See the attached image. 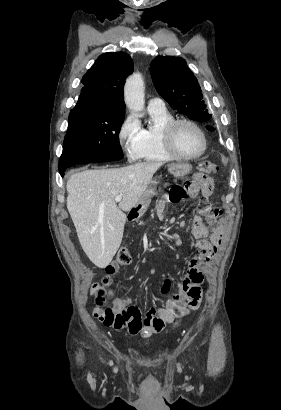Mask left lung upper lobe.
Masks as SVG:
<instances>
[{"label": "left lung upper lobe", "mask_w": 281, "mask_h": 410, "mask_svg": "<svg viewBox=\"0 0 281 410\" xmlns=\"http://www.w3.org/2000/svg\"><path fill=\"white\" fill-rule=\"evenodd\" d=\"M150 73L156 90L172 108L199 122L211 118L198 81L182 58L158 56L151 62Z\"/></svg>", "instance_id": "left-lung-upper-lobe-1"}]
</instances>
